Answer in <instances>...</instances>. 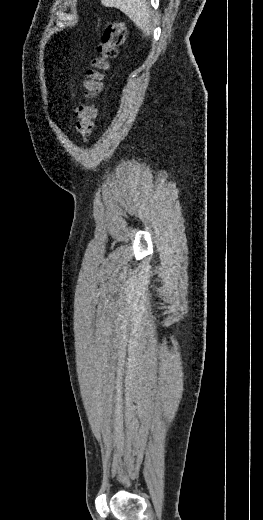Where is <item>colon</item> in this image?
Segmentation results:
<instances>
[{
    "instance_id": "5ec220e1",
    "label": "colon",
    "mask_w": 263,
    "mask_h": 520,
    "mask_svg": "<svg viewBox=\"0 0 263 520\" xmlns=\"http://www.w3.org/2000/svg\"><path fill=\"white\" fill-rule=\"evenodd\" d=\"M126 38L125 24L118 20L106 23L102 40L98 46V56L95 57L86 72L84 81L85 103L75 111L76 129L84 141H88L94 132L96 107L93 103L102 87L103 72L109 68L110 61L117 56L118 48Z\"/></svg>"
}]
</instances>
